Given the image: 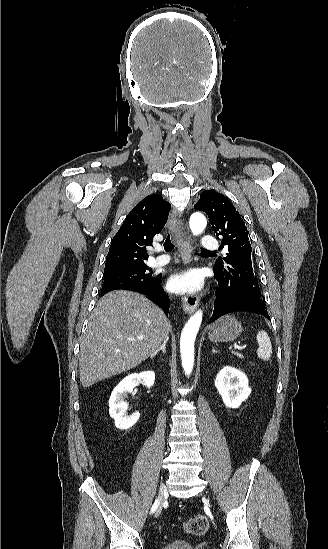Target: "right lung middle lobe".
<instances>
[{"mask_svg": "<svg viewBox=\"0 0 328 549\" xmlns=\"http://www.w3.org/2000/svg\"><path fill=\"white\" fill-rule=\"evenodd\" d=\"M152 274L146 264L104 272L101 295L116 289L148 287L158 278Z\"/></svg>", "mask_w": 328, "mask_h": 549, "instance_id": "right-lung-middle-lobe-1", "label": "right lung middle lobe"}]
</instances>
